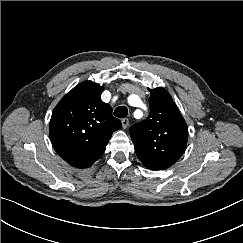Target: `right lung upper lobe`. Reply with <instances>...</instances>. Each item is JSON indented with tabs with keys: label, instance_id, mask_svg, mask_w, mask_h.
Returning a JSON list of instances; mask_svg holds the SVG:
<instances>
[{
	"label": "right lung upper lobe",
	"instance_id": "cb5924a9",
	"mask_svg": "<svg viewBox=\"0 0 243 243\" xmlns=\"http://www.w3.org/2000/svg\"><path fill=\"white\" fill-rule=\"evenodd\" d=\"M103 87L85 81L73 88L53 110L49 132L58 155L77 168L93 165L106 149L112 133L121 128L112 108L100 95Z\"/></svg>",
	"mask_w": 243,
	"mask_h": 243
}]
</instances>
